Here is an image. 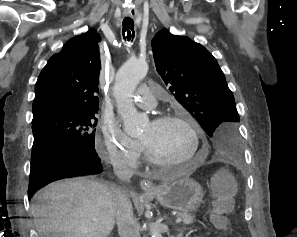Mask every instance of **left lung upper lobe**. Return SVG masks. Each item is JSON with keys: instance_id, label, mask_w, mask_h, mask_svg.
Segmentation results:
<instances>
[{"instance_id": "left-lung-upper-lobe-1", "label": "left lung upper lobe", "mask_w": 297, "mask_h": 237, "mask_svg": "<svg viewBox=\"0 0 297 237\" xmlns=\"http://www.w3.org/2000/svg\"><path fill=\"white\" fill-rule=\"evenodd\" d=\"M151 45L157 72L170 86L175 99L211 138L214 154L239 158L242 155L239 114L213 55L201 44L167 30L159 31Z\"/></svg>"}]
</instances>
